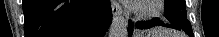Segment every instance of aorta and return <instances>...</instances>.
I'll use <instances>...</instances> for the list:
<instances>
[{"instance_id":"1","label":"aorta","mask_w":219,"mask_h":37,"mask_svg":"<svg viewBox=\"0 0 219 37\" xmlns=\"http://www.w3.org/2000/svg\"><path fill=\"white\" fill-rule=\"evenodd\" d=\"M109 37H127V23L123 16L114 17L109 29Z\"/></svg>"}]
</instances>
